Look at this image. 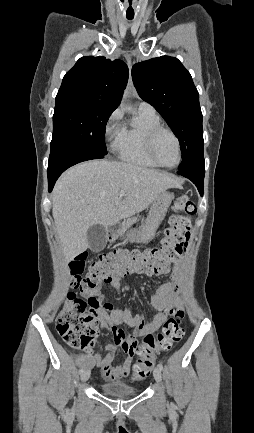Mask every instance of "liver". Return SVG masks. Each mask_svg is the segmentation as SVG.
<instances>
[{"label": "liver", "mask_w": 254, "mask_h": 433, "mask_svg": "<svg viewBox=\"0 0 254 433\" xmlns=\"http://www.w3.org/2000/svg\"><path fill=\"white\" fill-rule=\"evenodd\" d=\"M178 187L180 182L166 172L125 162L91 160L72 167L57 181L52 195L65 260L89 248L90 226L117 224L148 208L162 191Z\"/></svg>", "instance_id": "liver-1"}]
</instances>
